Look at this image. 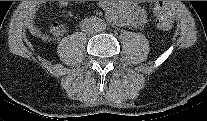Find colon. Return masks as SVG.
Returning <instances> with one entry per match:
<instances>
[{
    "label": "colon",
    "mask_w": 207,
    "mask_h": 121,
    "mask_svg": "<svg viewBox=\"0 0 207 121\" xmlns=\"http://www.w3.org/2000/svg\"><path fill=\"white\" fill-rule=\"evenodd\" d=\"M153 18L156 25L161 29H170L173 25L172 14L166 2L158 1L153 4Z\"/></svg>",
    "instance_id": "colon-1"
}]
</instances>
